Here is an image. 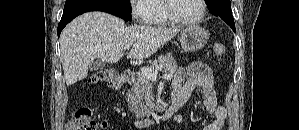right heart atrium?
<instances>
[{
    "mask_svg": "<svg viewBox=\"0 0 299 130\" xmlns=\"http://www.w3.org/2000/svg\"><path fill=\"white\" fill-rule=\"evenodd\" d=\"M150 0H132L131 12L134 19L138 22H146L148 16L147 5Z\"/></svg>",
    "mask_w": 299,
    "mask_h": 130,
    "instance_id": "obj_1",
    "label": "right heart atrium"
}]
</instances>
